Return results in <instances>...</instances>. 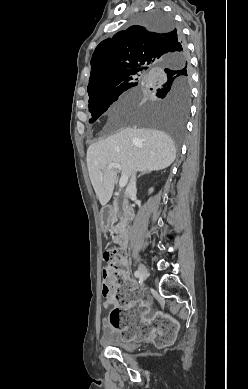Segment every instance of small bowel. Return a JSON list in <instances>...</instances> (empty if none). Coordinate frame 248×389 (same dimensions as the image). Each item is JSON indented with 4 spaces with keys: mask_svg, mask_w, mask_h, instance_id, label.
<instances>
[{
    "mask_svg": "<svg viewBox=\"0 0 248 389\" xmlns=\"http://www.w3.org/2000/svg\"><path fill=\"white\" fill-rule=\"evenodd\" d=\"M112 305H118V302L117 301H115V300H111V299H106L104 302H103V307L105 308V309H108L110 306H112ZM146 318H144V320H145ZM103 327H104V329L105 330H108L109 328H111V325H110V323H109V320L108 319H104L103 320Z\"/></svg>",
    "mask_w": 248,
    "mask_h": 389,
    "instance_id": "c3829d8e",
    "label": "small bowel"
}]
</instances>
